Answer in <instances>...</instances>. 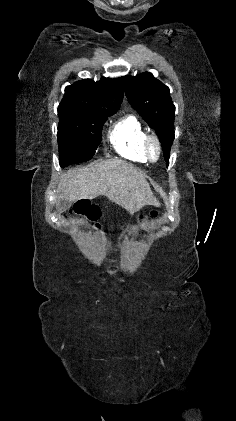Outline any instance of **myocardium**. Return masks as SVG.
Instances as JSON below:
<instances>
[{
  "instance_id": "obj_1",
  "label": "myocardium",
  "mask_w": 236,
  "mask_h": 421,
  "mask_svg": "<svg viewBox=\"0 0 236 421\" xmlns=\"http://www.w3.org/2000/svg\"><path fill=\"white\" fill-rule=\"evenodd\" d=\"M143 149L145 156L148 161L155 163L157 162L162 156V144L160 139L154 134H148L144 138L143 142ZM155 149L157 151V157L154 158L152 155V151Z\"/></svg>"
}]
</instances>
